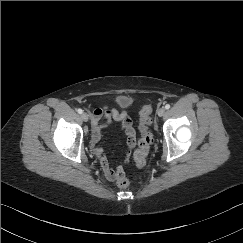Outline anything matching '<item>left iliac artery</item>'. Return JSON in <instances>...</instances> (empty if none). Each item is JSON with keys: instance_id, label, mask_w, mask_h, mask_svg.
Wrapping results in <instances>:
<instances>
[{"instance_id": "obj_1", "label": "left iliac artery", "mask_w": 243, "mask_h": 243, "mask_svg": "<svg viewBox=\"0 0 243 243\" xmlns=\"http://www.w3.org/2000/svg\"><path fill=\"white\" fill-rule=\"evenodd\" d=\"M169 108H170V105H169V104H166V105H165V109L168 110Z\"/></svg>"}]
</instances>
